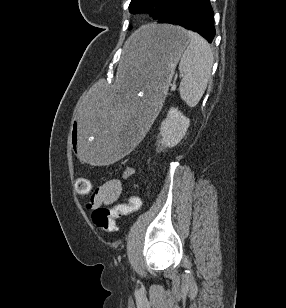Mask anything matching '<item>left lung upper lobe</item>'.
<instances>
[{"instance_id":"left-lung-upper-lobe-1","label":"left lung upper lobe","mask_w":286,"mask_h":308,"mask_svg":"<svg viewBox=\"0 0 286 308\" xmlns=\"http://www.w3.org/2000/svg\"><path fill=\"white\" fill-rule=\"evenodd\" d=\"M172 0H131L129 11L131 13H150L158 19Z\"/></svg>"}]
</instances>
